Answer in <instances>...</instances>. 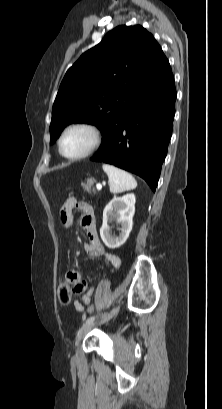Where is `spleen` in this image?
Returning <instances> with one entry per match:
<instances>
[{"label": "spleen", "instance_id": "spleen-1", "mask_svg": "<svg viewBox=\"0 0 222 409\" xmlns=\"http://www.w3.org/2000/svg\"><path fill=\"white\" fill-rule=\"evenodd\" d=\"M102 168L108 175L111 193L117 194L137 187L136 180L128 172L108 164H103Z\"/></svg>", "mask_w": 222, "mask_h": 409}]
</instances>
